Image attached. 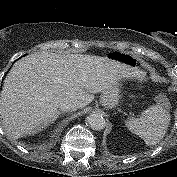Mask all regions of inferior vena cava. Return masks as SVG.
I'll list each match as a JSON object with an SVG mask.
<instances>
[{"instance_id":"obj_1","label":"inferior vena cava","mask_w":177,"mask_h":177,"mask_svg":"<svg viewBox=\"0 0 177 177\" xmlns=\"http://www.w3.org/2000/svg\"><path fill=\"white\" fill-rule=\"evenodd\" d=\"M59 108L62 112H72L79 108V104L77 102L66 101L60 104Z\"/></svg>"}]
</instances>
